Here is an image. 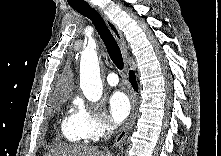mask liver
I'll list each match as a JSON object with an SVG mask.
<instances>
[{
	"label": "liver",
	"instance_id": "1",
	"mask_svg": "<svg viewBox=\"0 0 221 156\" xmlns=\"http://www.w3.org/2000/svg\"><path fill=\"white\" fill-rule=\"evenodd\" d=\"M45 156H111L97 147L69 146L50 150Z\"/></svg>",
	"mask_w": 221,
	"mask_h": 156
}]
</instances>
